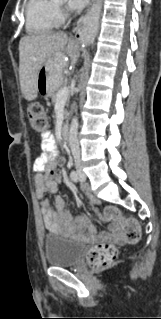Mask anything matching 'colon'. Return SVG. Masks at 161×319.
I'll return each instance as SVG.
<instances>
[{
	"label": "colon",
	"instance_id": "obj_1",
	"mask_svg": "<svg viewBox=\"0 0 161 319\" xmlns=\"http://www.w3.org/2000/svg\"><path fill=\"white\" fill-rule=\"evenodd\" d=\"M27 115L32 128L40 133H48L51 126L44 115V109L40 104H31L27 108ZM54 145V144H52ZM64 160L58 162V166L62 167ZM54 174L59 170L52 171ZM104 217L122 225L124 237L127 242H136L141 237L140 227L137 220L133 218H121L115 208H107L103 213ZM116 248L108 243H99L93 246L87 253V261L93 268H104L114 264L117 258Z\"/></svg>",
	"mask_w": 161,
	"mask_h": 319
}]
</instances>
